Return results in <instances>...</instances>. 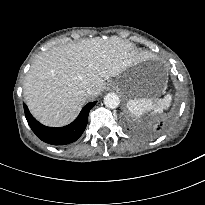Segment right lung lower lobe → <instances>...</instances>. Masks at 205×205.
<instances>
[{
	"mask_svg": "<svg viewBox=\"0 0 205 205\" xmlns=\"http://www.w3.org/2000/svg\"><path fill=\"white\" fill-rule=\"evenodd\" d=\"M95 104L96 101L88 103L75 121L60 128L43 126L33 118L27 106L25 104L23 106L27 122L39 139L52 145H65L76 141L82 135L87 125L89 111Z\"/></svg>",
	"mask_w": 205,
	"mask_h": 205,
	"instance_id": "1",
	"label": "right lung lower lobe"
}]
</instances>
